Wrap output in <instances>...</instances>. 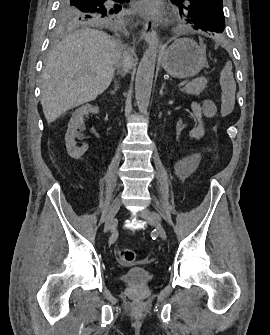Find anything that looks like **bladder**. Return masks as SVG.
Returning a JSON list of instances; mask_svg holds the SVG:
<instances>
[{
	"label": "bladder",
	"instance_id": "bladder-1",
	"mask_svg": "<svg viewBox=\"0 0 270 335\" xmlns=\"http://www.w3.org/2000/svg\"><path fill=\"white\" fill-rule=\"evenodd\" d=\"M121 278L128 286H143L150 278V270L148 268L128 269Z\"/></svg>",
	"mask_w": 270,
	"mask_h": 335
}]
</instances>
